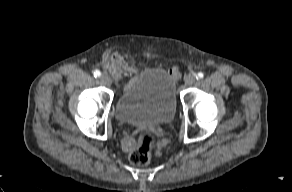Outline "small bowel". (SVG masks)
Masks as SVG:
<instances>
[{"mask_svg":"<svg viewBox=\"0 0 292 192\" xmlns=\"http://www.w3.org/2000/svg\"><path fill=\"white\" fill-rule=\"evenodd\" d=\"M169 75L172 77V78H176L178 77L179 75V71L177 68H172L170 71H169ZM161 144L163 146H168L170 144V139L168 137H163L161 139ZM134 146V143L132 141L131 138L127 137L124 139V147L128 150L132 149ZM151 146L154 148L153 149V154L155 156H160L162 154V149L159 147L160 146V141L158 139H153L151 141Z\"/></svg>","mask_w":292,"mask_h":192,"instance_id":"1","label":"small bowel"}]
</instances>
